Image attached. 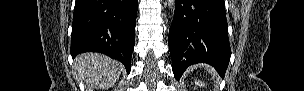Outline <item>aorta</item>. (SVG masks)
I'll return each instance as SVG.
<instances>
[{"instance_id": "1", "label": "aorta", "mask_w": 304, "mask_h": 91, "mask_svg": "<svg viewBox=\"0 0 304 91\" xmlns=\"http://www.w3.org/2000/svg\"><path fill=\"white\" fill-rule=\"evenodd\" d=\"M169 9L174 12L175 10V0H167Z\"/></svg>"}]
</instances>
